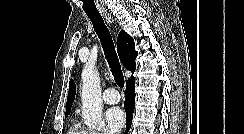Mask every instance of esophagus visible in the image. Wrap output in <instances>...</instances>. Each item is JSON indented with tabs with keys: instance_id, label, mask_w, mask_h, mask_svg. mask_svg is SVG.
I'll list each match as a JSON object with an SVG mask.
<instances>
[{
	"instance_id": "1",
	"label": "esophagus",
	"mask_w": 244,
	"mask_h": 134,
	"mask_svg": "<svg viewBox=\"0 0 244 134\" xmlns=\"http://www.w3.org/2000/svg\"><path fill=\"white\" fill-rule=\"evenodd\" d=\"M103 16L108 23L112 24L114 22L113 18L111 17V15L109 13L105 12V13H103Z\"/></svg>"
}]
</instances>
